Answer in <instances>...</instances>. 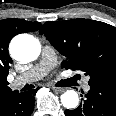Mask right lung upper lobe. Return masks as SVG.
<instances>
[{"label":"right lung upper lobe","mask_w":116,"mask_h":116,"mask_svg":"<svg viewBox=\"0 0 116 116\" xmlns=\"http://www.w3.org/2000/svg\"><path fill=\"white\" fill-rule=\"evenodd\" d=\"M41 23L10 18L0 21V98L12 90L8 87L7 75L12 59L8 53L11 39L20 33L37 31Z\"/></svg>","instance_id":"1"}]
</instances>
